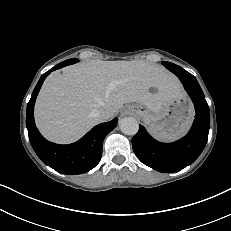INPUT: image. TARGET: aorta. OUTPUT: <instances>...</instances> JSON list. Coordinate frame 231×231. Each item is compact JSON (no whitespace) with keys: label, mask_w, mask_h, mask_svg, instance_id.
Returning <instances> with one entry per match:
<instances>
[{"label":"aorta","mask_w":231,"mask_h":231,"mask_svg":"<svg viewBox=\"0 0 231 231\" xmlns=\"http://www.w3.org/2000/svg\"><path fill=\"white\" fill-rule=\"evenodd\" d=\"M121 131L126 135H135L139 130V124L133 117H124L119 121Z\"/></svg>","instance_id":"aorta-1"}]
</instances>
